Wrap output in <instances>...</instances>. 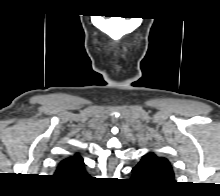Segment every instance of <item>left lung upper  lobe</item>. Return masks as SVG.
<instances>
[{
	"mask_svg": "<svg viewBox=\"0 0 220 196\" xmlns=\"http://www.w3.org/2000/svg\"><path fill=\"white\" fill-rule=\"evenodd\" d=\"M141 162L148 165L160 183L169 184L174 182V172L168 159L149 152L142 157Z\"/></svg>",
	"mask_w": 220,
	"mask_h": 196,
	"instance_id": "left-lung-upper-lobe-1",
	"label": "left lung upper lobe"
}]
</instances>
